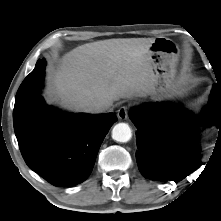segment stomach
I'll return each instance as SVG.
<instances>
[{"label":"stomach","mask_w":221,"mask_h":221,"mask_svg":"<svg viewBox=\"0 0 221 221\" xmlns=\"http://www.w3.org/2000/svg\"><path fill=\"white\" fill-rule=\"evenodd\" d=\"M179 55V46L169 38H156L150 45L148 59L154 72L150 95L153 99L173 100L181 96L182 87L177 78Z\"/></svg>","instance_id":"1"}]
</instances>
